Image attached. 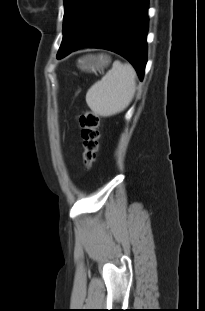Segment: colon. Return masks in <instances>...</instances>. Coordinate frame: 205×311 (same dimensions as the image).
I'll use <instances>...</instances> for the list:
<instances>
[{
	"label": "colon",
	"mask_w": 205,
	"mask_h": 311,
	"mask_svg": "<svg viewBox=\"0 0 205 311\" xmlns=\"http://www.w3.org/2000/svg\"><path fill=\"white\" fill-rule=\"evenodd\" d=\"M79 124L83 147V163L87 170H91L96 162L99 149L100 118L95 112L87 110L80 115Z\"/></svg>",
	"instance_id": "1"
}]
</instances>
